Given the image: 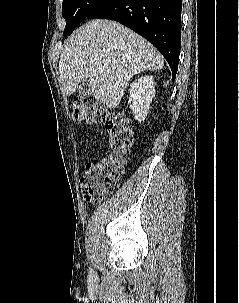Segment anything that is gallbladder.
I'll return each instance as SVG.
<instances>
[{
	"instance_id": "1",
	"label": "gallbladder",
	"mask_w": 239,
	"mask_h": 303,
	"mask_svg": "<svg viewBox=\"0 0 239 303\" xmlns=\"http://www.w3.org/2000/svg\"><path fill=\"white\" fill-rule=\"evenodd\" d=\"M77 91L82 95H90V86L88 81H81L77 84Z\"/></svg>"
}]
</instances>
